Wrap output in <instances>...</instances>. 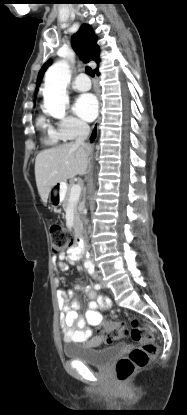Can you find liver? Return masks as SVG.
I'll use <instances>...</instances> for the list:
<instances>
[{
	"label": "liver",
	"mask_w": 187,
	"mask_h": 415,
	"mask_svg": "<svg viewBox=\"0 0 187 415\" xmlns=\"http://www.w3.org/2000/svg\"><path fill=\"white\" fill-rule=\"evenodd\" d=\"M88 154L84 147L70 142L46 149L37 155L35 179L44 204L54 185L86 173Z\"/></svg>",
	"instance_id": "liver-1"
}]
</instances>
